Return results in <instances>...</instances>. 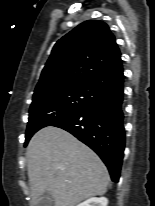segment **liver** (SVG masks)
<instances>
[{"instance_id":"1","label":"liver","mask_w":155,"mask_h":206,"mask_svg":"<svg viewBox=\"0 0 155 206\" xmlns=\"http://www.w3.org/2000/svg\"><path fill=\"white\" fill-rule=\"evenodd\" d=\"M26 157L32 203L46 192L54 206H75L104 195L109 174L101 159L73 135L57 127L39 130L30 140Z\"/></svg>"}]
</instances>
